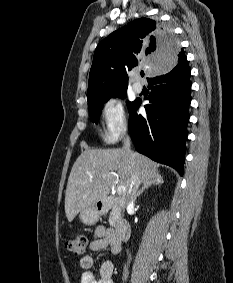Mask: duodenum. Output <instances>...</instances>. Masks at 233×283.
Instances as JSON below:
<instances>
[{
    "label": "duodenum",
    "mask_w": 233,
    "mask_h": 283,
    "mask_svg": "<svg viewBox=\"0 0 233 283\" xmlns=\"http://www.w3.org/2000/svg\"><path fill=\"white\" fill-rule=\"evenodd\" d=\"M115 203L118 204H123L124 201L122 199L118 200H104L98 202V210L99 212H107L111 206ZM114 234H115V240L118 246H120L121 242L127 240L130 235V226L127 221L125 220H118L115 224V229H114Z\"/></svg>",
    "instance_id": "410a0bca"
}]
</instances>
